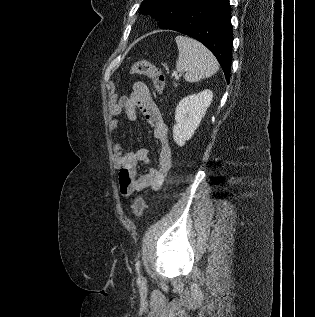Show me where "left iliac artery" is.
I'll return each mask as SVG.
<instances>
[{"mask_svg":"<svg viewBox=\"0 0 315 317\" xmlns=\"http://www.w3.org/2000/svg\"><path fill=\"white\" fill-rule=\"evenodd\" d=\"M135 266H136L137 272L139 273V270H140V261H137V263L135 264Z\"/></svg>","mask_w":315,"mask_h":317,"instance_id":"44dca946","label":"left iliac artery"}]
</instances>
